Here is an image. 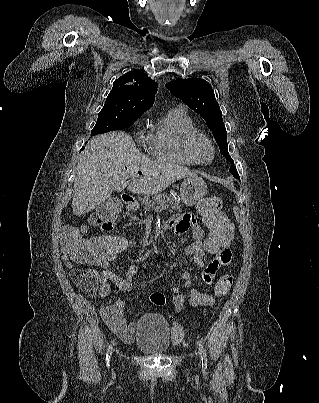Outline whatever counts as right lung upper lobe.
<instances>
[{
	"mask_svg": "<svg viewBox=\"0 0 319 403\" xmlns=\"http://www.w3.org/2000/svg\"><path fill=\"white\" fill-rule=\"evenodd\" d=\"M157 83L145 73L131 71L113 83L104 105H120L145 112L154 103Z\"/></svg>",
	"mask_w": 319,
	"mask_h": 403,
	"instance_id": "obj_1",
	"label": "right lung upper lobe"
}]
</instances>
